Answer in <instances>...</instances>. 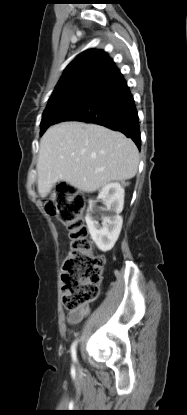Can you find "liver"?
<instances>
[{"label":"liver","instance_id":"1","mask_svg":"<svg viewBox=\"0 0 187 415\" xmlns=\"http://www.w3.org/2000/svg\"><path fill=\"white\" fill-rule=\"evenodd\" d=\"M139 153L120 132L96 124L62 122L40 140L38 193L45 198L59 181L83 192H95L112 181L133 178Z\"/></svg>","mask_w":187,"mask_h":415}]
</instances>
